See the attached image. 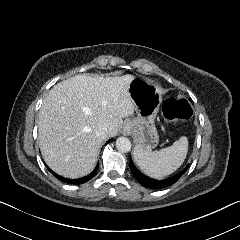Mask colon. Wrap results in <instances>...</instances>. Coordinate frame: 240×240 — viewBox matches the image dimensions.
Returning a JSON list of instances; mask_svg holds the SVG:
<instances>
[{"label": "colon", "mask_w": 240, "mask_h": 240, "mask_svg": "<svg viewBox=\"0 0 240 240\" xmlns=\"http://www.w3.org/2000/svg\"><path fill=\"white\" fill-rule=\"evenodd\" d=\"M162 111L165 119L168 121L188 120L192 116V108L189 101L181 98L167 101Z\"/></svg>", "instance_id": "1"}]
</instances>
